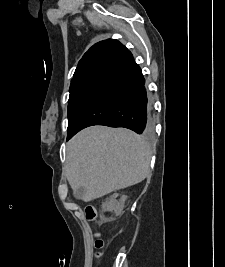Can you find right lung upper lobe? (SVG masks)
Instances as JSON below:
<instances>
[{
  "mask_svg": "<svg viewBox=\"0 0 225 267\" xmlns=\"http://www.w3.org/2000/svg\"><path fill=\"white\" fill-rule=\"evenodd\" d=\"M126 50L117 40L108 39L94 44L79 61L71 84L88 77L101 76Z\"/></svg>",
  "mask_w": 225,
  "mask_h": 267,
  "instance_id": "obj_1",
  "label": "right lung upper lobe"
}]
</instances>
